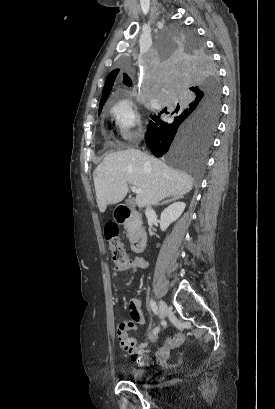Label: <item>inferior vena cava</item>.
<instances>
[{"label": "inferior vena cava", "instance_id": "inferior-vena-cava-1", "mask_svg": "<svg viewBox=\"0 0 275 409\" xmlns=\"http://www.w3.org/2000/svg\"><path fill=\"white\" fill-rule=\"evenodd\" d=\"M146 213H151V209H147Z\"/></svg>", "mask_w": 275, "mask_h": 409}]
</instances>
